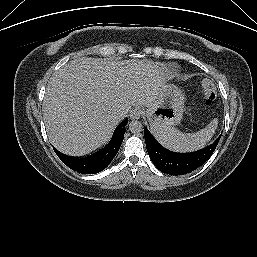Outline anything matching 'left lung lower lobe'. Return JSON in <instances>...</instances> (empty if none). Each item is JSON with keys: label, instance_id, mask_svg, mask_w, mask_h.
<instances>
[{"label": "left lung lower lobe", "instance_id": "left-lung-lower-lobe-1", "mask_svg": "<svg viewBox=\"0 0 257 257\" xmlns=\"http://www.w3.org/2000/svg\"><path fill=\"white\" fill-rule=\"evenodd\" d=\"M146 148L153 164L169 175H184L203 165L213 154L221 135L206 148L191 152L177 153L164 148L147 128L144 129Z\"/></svg>", "mask_w": 257, "mask_h": 257}]
</instances>
